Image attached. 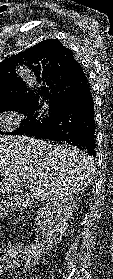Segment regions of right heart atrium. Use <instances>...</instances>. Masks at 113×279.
<instances>
[{
	"mask_svg": "<svg viewBox=\"0 0 113 279\" xmlns=\"http://www.w3.org/2000/svg\"><path fill=\"white\" fill-rule=\"evenodd\" d=\"M24 118L23 113L17 108H7L0 115V126L7 131L16 129Z\"/></svg>",
	"mask_w": 113,
	"mask_h": 279,
	"instance_id": "obj_1",
	"label": "right heart atrium"
}]
</instances>
